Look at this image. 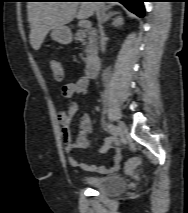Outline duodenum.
<instances>
[{"label": "duodenum", "mask_w": 188, "mask_h": 213, "mask_svg": "<svg viewBox=\"0 0 188 213\" xmlns=\"http://www.w3.org/2000/svg\"><path fill=\"white\" fill-rule=\"evenodd\" d=\"M101 69V61L98 58L91 59L86 65V77L93 79L98 77Z\"/></svg>", "instance_id": "1"}]
</instances>
